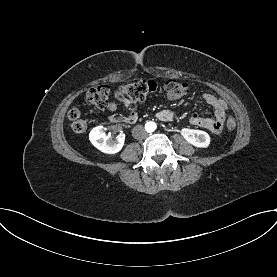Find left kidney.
<instances>
[{"instance_id": "5707ae66", "label": "left kidney", "mask_w": 277, "mask_h": 277, "mask_svg": "<svg viewBox=\"0 0 277 277\" xmlns=\"http://www.w3.org/2000/svg\"><path fill=\"white\" fill-rule=\"evenodd\" d=\"M181 135L188 143L195 147L207 148L210 144V136L202 130L183 128Z\"/></svg>"}]
</instances>
